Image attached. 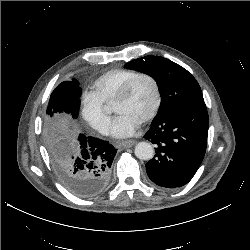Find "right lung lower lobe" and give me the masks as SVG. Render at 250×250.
<instances>
[{
    "label": "right lung lower lobe",
    "mask_w": 250,
    "mask_h": 250,
    "mask_svg": "<svg viewBox=\"0 0 250 250\" xmlns=\"http://www.w3.org/2000/svg\"><path fill=\"white\" fill-rule=\"evenodd\" d=\"M76 155L63 157L58 170L68 189L81 198L100 194L108 184L117 149L104 141L81 134Z\"/></svg>",
    "instance_id": "right-lung-lower-lobe-1"
}]
</instances>
